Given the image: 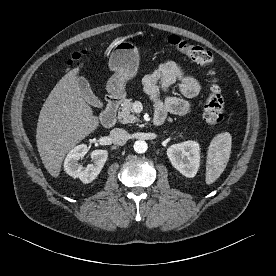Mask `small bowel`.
Returning <instances> with one entry per match:
<instances>
[{
	"mask_svg": "<svg viewBox=\"0 0 276 276\" xmlns=\"http://www.w3.org/2000/svg\"><path fill=\"white\" fill-rule=\"evenodd\" d=\"M177 84L186 97H195L200 92L199 81L186 74L182 68L173 61L164 62L151 70L143 78L145 92L153 101L155 112L166 116L168 113L183 116L190 110L189 103L180 97L169 96L164 100L160 98V91Z\"/></svg>",
	"mask_w": 276,
	"mask_h": 276,
	"instance_id": "c3829d8e",
	"label": "small bowel"
}]
</instances>
